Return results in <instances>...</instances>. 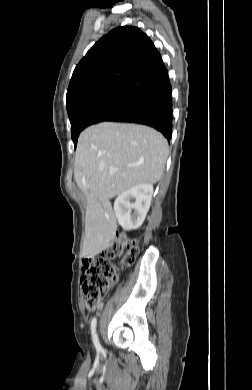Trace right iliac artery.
Listing matches in <instances>:
<instances>
[{
    "mask_svg": "<svg viewBox=\"0 0 252 390\" xmlns=\"http://www.w3.org/2000/svg\"><path fill=\"white\" fill-rule=\"evenodd\" d=\"M96 318H93L92 321H91V334H92V340H93V343L97 349V351H100L101 350V345L99 343V339H98V336H97V333H96Z\"/></svg>",
    "mask_w": 252,
    "mask_h": 390,
    "instance_id": "82829eb1",
    "label": "right iliac artery"
}]
</instances>
